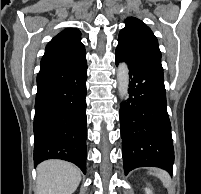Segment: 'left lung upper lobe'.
I'll return each instance as SVG.
<instances>
[{
  "instance_id": "obj_1",
  "label": "left lung upper lobe",
  "mask_w": 201,
  "mask_h": 194,
  "mask_svg": "<svg viewBox=\"0 0 201 194\" xmlns=\"http://www.w3.org/2000/svg\"><path fill=\"white\" fill-rule=\"evenodd\" d=\"M125 23V27L119 33L118 46L128 52L161 61L158 41L151 29L134 17L127 18Z\"/></svg>"
}]
</instances>
